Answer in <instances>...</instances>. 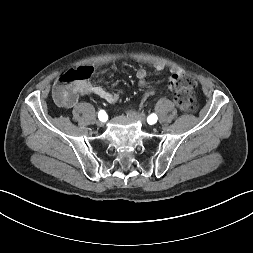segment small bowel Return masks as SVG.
<instances>
[{
  "label": "small bowel",
  "instance_id": "1",
  "mask_svg": "<svg viewBox=\"0 0 253 253\" xmlns=\"http://www.w3.org/2000/svg\"><path fill=\"white\" fill-rule=\"evenodd\" d=\"M113 69H116V67H113ZM163 69H164V66L162 64H155L154 65V70L156 72H161ZM170 72H171V79L184 74V71L182 69L175 68V67L171 68ZM136 77H137L139 85L141 87H144L147 83L146 82V77H147L146 70L143 68L138 69L136 72ZM74 90H75V97H74L73 101L65 104L64 106L72 107L73 105H75L79 95L92 94V95H96V96L100 97L101 99L105 100L108 103H114L120 98V96L122 94L121 91H113V92L107 91L104 88H102L100 86L93 85L89 81H86V80L77 82L74 86Z\"/></svg>",
  "mask_w": 253,
  "mask_h": 253
}]
</instances>
